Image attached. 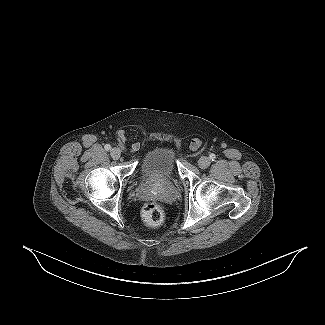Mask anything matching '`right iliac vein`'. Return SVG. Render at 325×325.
Returning a JSON list of instances; mask_svg holds the SVG:
<instances>
[{"label":"right iliac vein","instance_id":"right-iliac-vein-1","mask_svg":"<svg viewBox=\"0 0 325 325\" xmlns=\"http://www.w3.org/2000/svg\"><path fill=\"white\" fill-rule=\"evenodd\" d=\"M111 157L115 160L121 157V150L119 148H113L111 150Z\"/></svg>","mask_w":325,"mask_h":325}]
</instances>
